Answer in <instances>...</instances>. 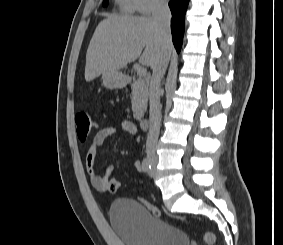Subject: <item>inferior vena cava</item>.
<instances>
[{"label":"inferior vena cava","mask_w":283,"mask_h":245,"mask_svg":"<svg viewBox=\"0 0 283 245\" xmlns=\"http://www.w3.org/2000/svg\"><path fill=\"white\" fill-rule=\"evenodd\" d=\"M152 19L159 25L163 48L161 60L153 68L149 89V132L146 141V153L148 158L156 159L155 148L161 122L160 85L170 59V53L167 48L172 43L170 32L171 12L164 0H154Z\"/></svg>","instance_id":"602c4592"}]
</instances>
